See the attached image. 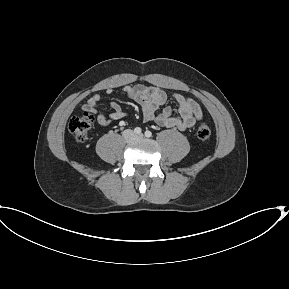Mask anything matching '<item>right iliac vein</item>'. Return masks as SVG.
<instances>
[{"label":"right iliac vein","instance_id":"63e3f726","mask_svg":"<svg viewBox=\"0 0 289 289\" xmlns=\"http://www.w3.org/2000/svg\"><path fill=\"white\" fill-rule=\"evenodd\" d=\"M124 137H125L126 140H132L134 138V135H133V133L131 131H126L124 133Z\"/></svg>","mask_w":289,"mask_h":289}]
</instances>
